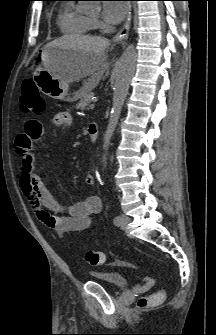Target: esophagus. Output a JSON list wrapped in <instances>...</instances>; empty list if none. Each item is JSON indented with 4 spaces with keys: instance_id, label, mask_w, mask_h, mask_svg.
<instances>
[{
    "instance_id": "34e87169",
    "label": "esophagus",
    "mask_w": 216,
    "mask_h": 335,
    "mask_svg": "<svg viewBox=\"0 0 216 335\" xmlns=\"http://www.w3.org/2000/svg\"><path fill=\"white\" fill-rule=\"evenodd\" d=\"M131 19H132V12H131V4L129 5V13L127 16V20L125 22L124 27L116 34V36L114 37L113 41L115 43H122L123 45H125V41L128 38V34H129V29H130V25H131Z\"/></svg>"
}]
</instances>
